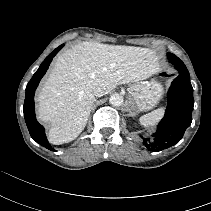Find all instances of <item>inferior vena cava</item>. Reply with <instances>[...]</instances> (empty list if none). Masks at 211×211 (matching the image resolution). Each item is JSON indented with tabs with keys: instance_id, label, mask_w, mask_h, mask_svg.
<instances>
[{
	"instance_id": "obj_1",
	"label": "inferior vena cava",
	"mask_w": 211,
	"mask_h": 211,
	"mask_svg": "<svg viewBox=\"0 0 211 211\" xmlns=\"http://www.w3.org/2000/svg\"><path fill=\"white\" fill-rule=\"evenodd\" d=\"M94 95H95L96 97H101V96H103V95H104L103 89L100 88V87H97V88L94 90Z\"/></svg>"
}]
</instances>
